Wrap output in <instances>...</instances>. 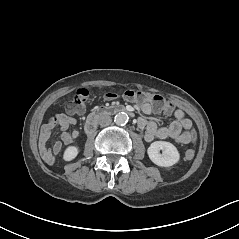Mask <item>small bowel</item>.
Listing matches in <instances>:
<instances>
[{
    "mask_svg": "<svg viewBox=\"0 0 239 239\" xmlns=\"http://www.w3.org/2000/svg\"><path fill=\"white\" fill-rule=\"evenodd\" d=\"M141 110L145 114L152 112H159L155 110L153 106L146 102L141 105ZM166 115L173 114L175 120L168 126L160 127L155 121H148L145 118L138 120V125L141 129H144V139L147 142L157 139H172L181 144H187L192 140V121L186 117L182 109H175L174 111H164ZM77 120L66 114H57L51 117L41 128L39 134V151L42 159L47 164H53L55 158L62 151V142L65 145H71L78 137L79 132L77 130L69 131V127L75 125ZM59 128L61 131V140L56 141L52 148H49L47 143L51 135V132L55 128Z\"/></svg>",
    "mask_w": 239,
    "mask_h": 239,
    "instance_id": "c3829d8e",
    "label": "small bowel"
}]
</instances>
